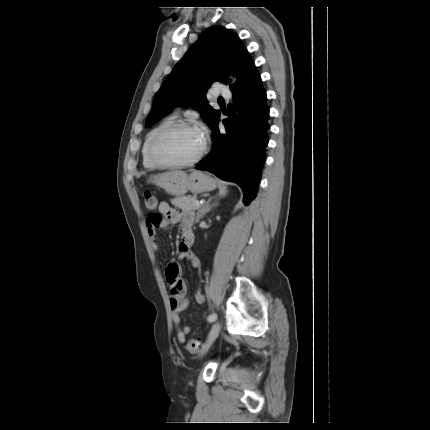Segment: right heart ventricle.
<instances>
[{
  "label": "right heart ventricle",
  "instance_id": "e07e8e85",
  "mask_svg": "<svg viewBox=\"0 0 430 430\" xmlns=\"http://www.w3.org/2000/svg\"><path fill=\"white\" fill-rule=\"evenodd\" d=\"M172 122V117H167L165 119H163L161 122H159L156 126H154L146 135L144 143H143V147H142V161H143V165L145 168L147 169H156L158 168V166L156 164H154L151 159L149 158L148 155V145L149 142L151 140V138L163 127H165L166 125H168L169 123Z\"/></svg>",
  "mask_w": 430,
  "mask_h": 430
}]
</instances>
